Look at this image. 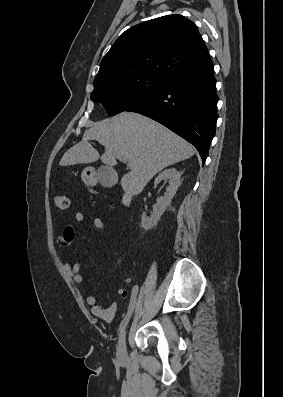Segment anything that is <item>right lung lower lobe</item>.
Here are the masks:
<instances>
[{"label": "right lung lower lobe", "instance_id": "right-lung-lower-lobe-1", "mask_svg": "<svg viewBox=\"0 0 283 397\" xmlns=\"http://www.w3.org/2000/svg\"><path fill=\"white\" fill-rule=\"evenodd\" d=\"M215 86L211 61L171 76L155 93L126 111L152 118L177 133L196 147L204 164L218 118Z\"/></svg>", "mask_w": 283, "mask_h": 397}]
</instances>
